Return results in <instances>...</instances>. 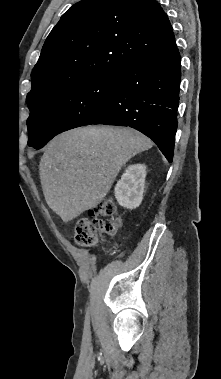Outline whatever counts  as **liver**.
I'll list each match as a JSON object with an SVG mask.
<instances>
[{"instance_id":"liver-1","label":"liver","mask_w":221,"mask_h":379,"mask_svg":"<svg viewBox=\"0 0 221 379\" xmlns=\"http://www.w3.org/2000/svg\"><path fill=\"white\" fill-rule=\"evenodd\" d=\"M152 146L131 128L88 126L58 135L39 165L48 206L65 222L76 218L107 195L131 157Z\"/></svg>"}]
</instances>
